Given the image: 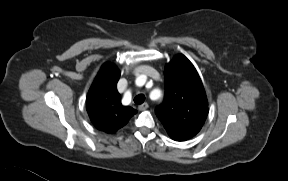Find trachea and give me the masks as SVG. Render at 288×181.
<instances>
[{"mask_svg":"<svg viewBox=\"0 0 288 181\" xmlns=\"http://www.w3.org/2000/svg\"><path fill=\"white\" fill-rule=\"evenodd\" d=\"M145 101V95L144 94H139L134 98V102L136 104H142Z\"/></svg>","mask_w":288,"mask_h":181,"instance_id":"3493384b","label":"trachea"}]
</instances>
